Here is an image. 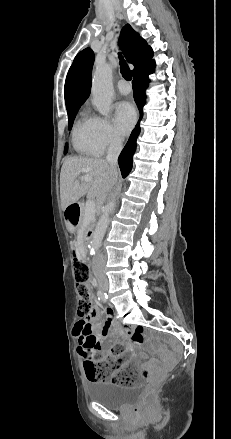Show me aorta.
Listing matches in <instances>:
<instances>
[{
    "instance_id": "1",
    "label": "aorta",
    "mask_w": 231,
    "mask_h": 439,
    "mask_svg": "<svg viewBox=\"0 0 231 439\" xmlns=\"http://www.w3.org/2000/svg\"><path fill=\"white\" fill-rule=\"evenodd\" d=\"M91 92L93 105L100 114L107 115L110 111L113 99L112 68L109 64L105 62H99L97 64L93 76ZM115 206V201H110L103 209V213L97 222L89 245L92 254H95L101 246L109 224V215L115 209Z\"/></svg>"
}]
</instances>
